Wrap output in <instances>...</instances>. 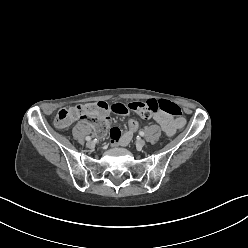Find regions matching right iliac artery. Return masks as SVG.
Listing matches in <instances>:
<instances>
[{
    "instance_id": "obj_1",
    "label": "right iliac artery",
    "mask_w": 248,
    "mask_h": 248,
    "mask_svg": "<svg viewBox=\"0 0 248 248\" xmlns=\"http://www.w3.org/2000/svg\"><path fill=\"white\" fill-rule=\"evenodd\" d=\"M86 140H87V141H90V140H91V137H90V136H87V137H86Z\"/></svg>"
}]
</instances>
